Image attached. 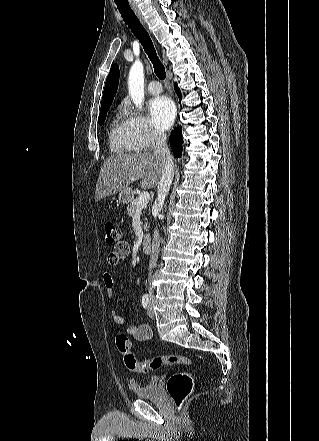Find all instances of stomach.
I'll return each mask as SVG.
<instances>
[{
  "mask_svg": "<svg viewBox=\"0 0 319 441\" xmlns=\"http://www.w3.org/2000/svg\"><path fill=\"white\" fill-rule=\"evenodd\" d=\"M118 200L120 203L126 204L132 200V191L130 189H125L119 192Z\"/></svg>",
  "mask_w": 319,
  "mask_h": 441,
  "instance_id": "0dacf381",
  "label": "stomach"
}]
</instances>
